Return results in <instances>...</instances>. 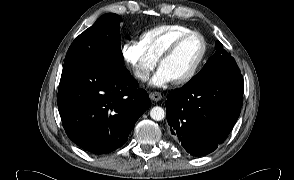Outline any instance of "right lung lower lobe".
I'll list each match as a JSON object with an SVG mask.
<instances>
[{
	"instance_id": "obj_1",
	"label": "right lung lower lobe",
	"mask_w": 294,
	"mask_h": 180,
	"mask_svg": "<svg viewBox=\"0 0 294 180\" xmlns=\"http://www.w3.org/2000/svg\"><path fill=\"white\" fill-rule=\"evenodd\" d=\"M138 87L124 68L88 65L62 73L57 100L68 137L95 154L122 146L151 105Z\"/></svg>"
}]
</instances>
